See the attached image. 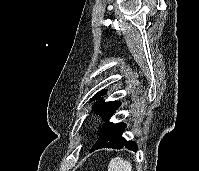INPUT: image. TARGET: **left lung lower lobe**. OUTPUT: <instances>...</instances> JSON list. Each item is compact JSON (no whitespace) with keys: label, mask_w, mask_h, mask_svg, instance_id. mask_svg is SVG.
<instances>
[{"label":"left lung lower lobe","mask_w":199,"mask_h":171,"mask_svg":"<svg viewBox=\"0 0 199 171\" xmlns=\"http://www.w3.org/2000/svg\"><path fill=\"white\" fill-rule=\"evenodd\" d=\"M109 119H107L106 123L103 125V128L101 129L99 134V139L90 151H95L96 149L101 148L121 149L123 147H126L129 150L136 151L138 149L136 143L134 141H127L125 138L122 137V134L125 131L126 124H114L112 122H109Z\"/></svg>","instance_id":"obj_1"}]
</instances>
